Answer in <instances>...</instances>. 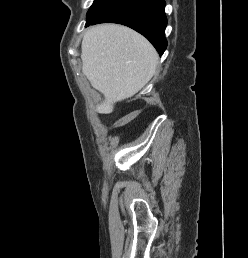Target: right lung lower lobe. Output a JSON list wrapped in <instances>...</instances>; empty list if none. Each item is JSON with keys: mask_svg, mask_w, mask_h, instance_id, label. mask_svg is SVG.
I'll list each match as a JSON object with an SVG mask.
<instances>
[{"mask_svg": "<svg viewBox=\"0 0 248 258\" xmlns=\"http://www.w3.org/2000/svg\"><path fill=\"white\" fill-rule=\"evenodd\" d=\"M164 8V0H118L86 26L109 22L126 25L145 36L162 55L167 47Z\"/></svg>", "mask_w": 248, "mask_h": 258, "instance_id": "1", "label": "right lung lower lobe"}]
</instances>
